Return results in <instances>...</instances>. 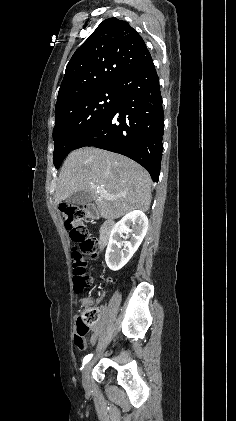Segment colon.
<instances>
[{"label":"colon","mask_w":236,"mask_h":421,"mask_svg":"<svg viewBox=\"0 0 236 421\" xmlns=\"http://www.w3.org/2000/svg\"><path fill=\"white\" fill-rule=\"evenodd\" d=\"M65 227L71 240L76 244L72 248L71 260L73 266L74 290L81 294L93 288V280L89 275L87 255L95 256L96 240L91 236L89 228L84 223V212L77 207H66L63 210ZM99 319V310L89 302L82 304L76 321L74 343L80 349L86 347V335Z\"/></svg>","instance_id":"obj_1"}]
</instances>
